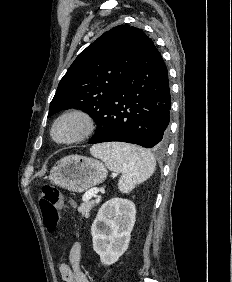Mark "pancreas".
I'll list each match as a JSON object with an SVG mask.
<instances>
[{"mask_svg": "<svg viewBox=\"0 0 232 282\" xmlns=\"http://www.w3.org/2000/svg\"><path fill=\"white\" fill-rule=\"evenodd\" d=\"M95 205V201H87L84 202L80 205V207L78 208V212L82 214V216H84L85 218L89 217V213L91 211V209L94 207Z\"/></svg>", "mask_w": 232, "mask_h": 282, "instance_id": "cf45deb5", "label": "pancreas"}]
</instances>
